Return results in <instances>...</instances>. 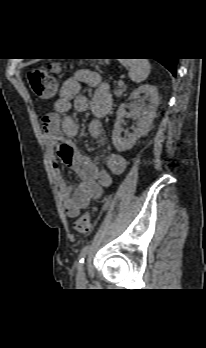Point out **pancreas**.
<instances>
[{
  "label": "pancreas",
  "mask_w": 206,
  "mask_h": 348,
  "mask_svg": "<svg viewBox=\"0 0 206 348\" xmlns=\"http://www.w3.org/2000/svg\"><path fill=\"white\" fill-rule=\"evenodd\" d=\"M126 91V86L124 84L118 85V87L115 89L114 94L117 98L121 97L122 94Z\"/></svg>",
  "instance_id": "pancreas-1"
}]
</instances>
